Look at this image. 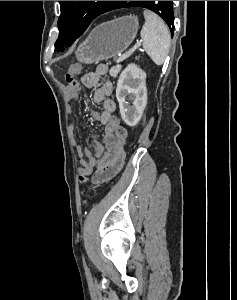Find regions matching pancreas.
Returning <instances> with one entry per match:
<instances>
[{"mask_svg":"<svg viewBox=\"0 0 237 300\" xmlns=\"http://www.w3.org/2000/svg\"><path fill=\"white\" fill-rule=\"evenodd\" d=\"M121 67H122V65H120V66L116 65V67H112V69H110V75H111V77H117V75H118Z\"/></svg>","mask_w":237,"mask_h":300,"instance_id":"1","label":"pancreas"}]
</instances>
